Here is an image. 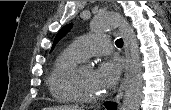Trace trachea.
Instances as JSON below:
<instances>
[{
  "mask_svg": "<svg viewBox=\"0 0 171 110\" xmlns=\"http://www.w3.org/2000/svg\"><path fill=\"white\" fill-rule=\"evenodd\" d=\"M116 46L121 48L123 46V40L122 39H117L116 40Z\"/></svg>",
  "mask_w": 171,
  "mask_h": 110,
  "instance_id": "1",
  "label": "trachea"
}]
</instances>
